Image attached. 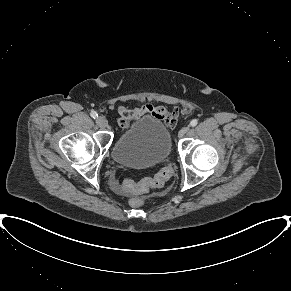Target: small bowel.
I'll return each instance as SVG.
<instances>
[{
    "label": "small bowel",
    "mask_w": 291,
    "mask_h": 291,
    "mask_svg": "<svg viewBox=\"0 0 291 291\" xmlns=\"http://www.w3.org/2000/svg\"><path fill=\"white\" fill-rule=\"evenodd\" d=\"M117 113L118 123L122 129H126L132 121L144 115H150L156 119L162 120L167 127L173 128L180 117V111L178 108L169 111L163 106H153L151 104L135 107L133 109L119 106Z\"/></svg>",
    "instance_id": "c3829d8e"
}]
</instances>
